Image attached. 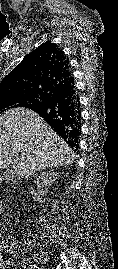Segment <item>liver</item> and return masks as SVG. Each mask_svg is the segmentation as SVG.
<instances>
[{"instance_id": "1", "label": "liver", "mask_w": 118, "mask_h": 269, "mask_svg": "<svg viewBox=\"0 0 118 269\" xmlns=\"http://www.w3.org/2000/svg\"><path fill=\"white\" fill-rule=\"evenodd\" d=\"M75 154L36 112L13 108L0 115V171L9 166L22 178L48 167L68 166Z\"/></svg>"}]
</instances>
